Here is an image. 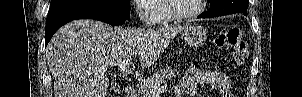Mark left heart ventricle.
<instances>
[{
	"label": "left heart ventricle",
	"mask_w": 302,
	"mask_h": 97,
	"mask_svg": "<svg viewBox=\"0 0 302 97\" xmlns=\"http://www.w3.org/2000/svg\"><path fill=\"white\" fill-rule=\"evenodd\" d=\"M172 5L177 13L187 14L199 7V0H173Z\"/></svg>",
	"instance_id": "obj_1"
}]
</instances>
